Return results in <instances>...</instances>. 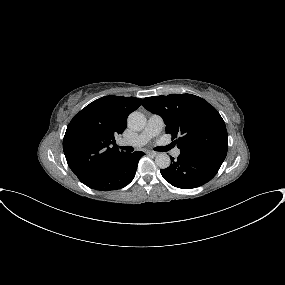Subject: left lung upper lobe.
<instances>
[{
	"label": "left lung upper lobe",
	"mask_w": 285,
	"mask_h": 285,
	"mask_svg": "<svg viewBox=\"0 0 285 285\" xmlns=\"http://www.w3.org/2000/svg\"><path fill=\"white\" fill-rule=\"evenodd\" d=\"M143 106L160 115L166 133L177 138L181 154L224 161L228 150L225 122L204 99L192 94L146 97Z\"/></svg>",
	"instance_id": "1"
}]
</instances>
